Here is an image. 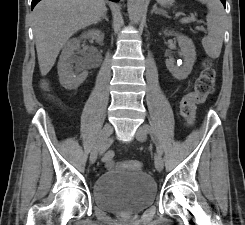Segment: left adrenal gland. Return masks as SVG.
I'll list each match as a JSON object with an SVG mask.
<instances>
[{
  "mask_svg": "<svg viewBox=\"0 0 245 225\" xmlns=\"http://www.w3.org/2000/svg\"><path fill=\"white\" fill-rule=\"evenodd\" d=\"M153 13L159 14V15H164L163 13H161V12L157 9L156 4L153 6V9H152V11H151V14H153Z\"/></svg>",
  "mask_w": 245,
  "mask_h": 225,
  "instance_id": "left-adrenal-gland-1",
  "label": "left adrenal gland"
}]
</instances>
